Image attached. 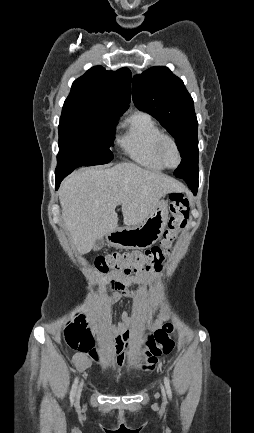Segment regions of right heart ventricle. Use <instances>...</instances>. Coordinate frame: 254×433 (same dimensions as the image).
Wrapping results in <instances>:
<instances>
[{"instance_id": "e07e8e85", "label": "right heart ventricle", "mask_w": 254, "mask_h": 433, "mask_svg": "<svg viewBox=\"0 0 254 433\" xmlns=\"http://www.w3.org/2000/svg\"><path fill=\"white\" fill-rule=\"evenodd\" d=\"M124 129L118 143L125 154L142 167L163 170L154 152L155 143L163 132L152 116L147 113L134 114L125 121Z\"/></svg>"}]
</instances>
